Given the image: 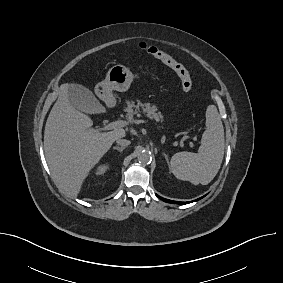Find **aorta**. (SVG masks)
<instances>
[{"instance_id":"762f6f07","label":"aorta","mask_w":283,"mask_h":283,"mask_svg":"<svg viewBox=\"0 0 283 283\" xmlns=\"http://www.w3.org/2000/svg\"><path fill=\"white\" fill-rule=\"evenodd\" d=\"M138 162L142 165H146V164H149L152 160V156H151V153L149 151H141L139 154H138Z\"/></svg>"}]
</instances>
